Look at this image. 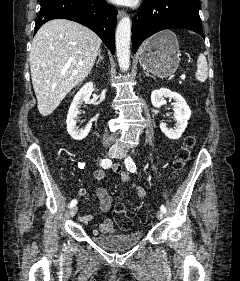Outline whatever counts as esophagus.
Listing matches in <instances>:
<instances>
[{"mask_svg": "<svg viewBox=\"0 0 240 281\" xmlns=\"http://www.w3.org/2000/svg\"><path fill=\"white\" fill-rule=\"evenodd\" d=\"M124 15V12L122 10H118V17L121 18Z\"/></svg>", "mask_w": 240, "mask_h": 281, "instance_id": "obj_1", "label": "esophagus"}]
</instances>
